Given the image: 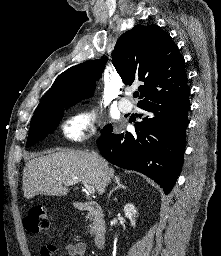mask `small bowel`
Masks as SVG:
<instances>
[{"label": "small bowel", "instance_id": "c3829d8e", "mask_svg": "<svg viewBox=\"0 0 221 256\" xmlns=\"http://www.w3.org/2000/svg\"><path fill=\"white\" fill-rule=\"evenodd\" d=\"M66 253L70 256H84L86 253V245L83 242L68 243L64 247ZM57 247L53 244H47L41 249V256H54Z\"/></svg>", "mask_w": 221, "mask_h": 256}]
</instances>
